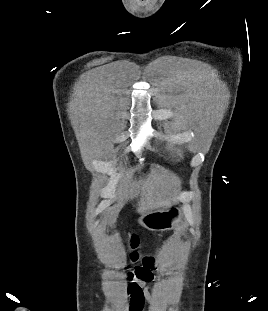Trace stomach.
I'll list each match as a JSON object with an SVG mask.
<instances>
[{
	"mask_svg": "<svg viewBox=\"0 0 268 311\" xmlns=\"http://www.w3.org/2000/svg\"><path fill=\"white\" fill-rule=\"evenodd\" d=\"M183 219L181 208L171 205L164 209H155L142 214L138 223L150 231H167L178 227Z\"/></svg>",
	"mask_w": 268,
	"mask_h": 311,
	"instance_id": "1",
	"label": "stomach"
}]
</instances>
